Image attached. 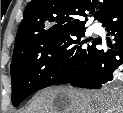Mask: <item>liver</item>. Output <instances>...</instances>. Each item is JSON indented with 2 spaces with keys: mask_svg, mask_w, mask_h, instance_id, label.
<instances>
[{
  "mask_svg": "<svg viewBox=\"0 0 123 113\" xmlns=\"http://www.w3.org/2000/svg\"><path fill=\"white\" fill-rule=\"evenodd\" d=\"M23 113H123V90L49 87L38 92Z\"/></svg>",
  "mask_w": 123,
  "mask_h": 113,
  "instance_id": "6515ba94",
  "label": "liver"
}]
</instances>
